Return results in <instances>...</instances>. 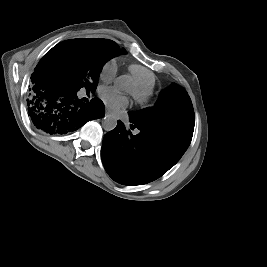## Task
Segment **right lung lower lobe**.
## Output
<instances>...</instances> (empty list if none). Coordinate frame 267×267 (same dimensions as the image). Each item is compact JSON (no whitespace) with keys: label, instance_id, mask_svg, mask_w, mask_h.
Masks as SVG:
<instances>
[{"label":"right lung lower lobe","instance_id":"obj_1","mask_svg":"<svg viewBox=\"0 0 267 267\" xmlns=\"http://www.w3.org/2000/svg\"><path fill=\"white\" fill-rule=\"evenodd\" d=\"M32 79L35 82L33 95L38 97L34 104L37 105L39 101L40 104L38 106L33 104L29 109V115L39 129L51 134L67 133L79 129L89 120L105 115L104 104L98 98L92 99L89 103L81 102V108H76L74 104L79 100L73 99L77 97V91L45 69L32 74ZM51 98L56 101H50Z\"/></svg>","mask_w":267,"mask_h":267}]
</instances>
